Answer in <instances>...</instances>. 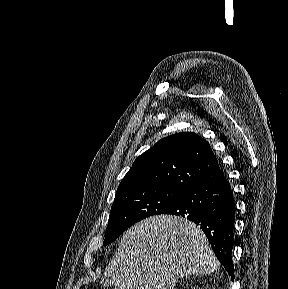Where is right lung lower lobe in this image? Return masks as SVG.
<instances>
[{
    "label": "right lung lower lobe",
    "mask_w": 288,
    "mask_h": 289,
    "mask_svg": "<svg viewBox=\"0 0 288 289\" xmlns=\"http://www.w3.org/2000/svg\"><path fill=\"white\" fill-rule=\"evenodd\" d=\"M164 214L183 216L200 225L218 260L234 279V198L218 165L185 189L182 198Z\"/></svg>",
    "instance_id": "98d812e1"
}]
</instances>
